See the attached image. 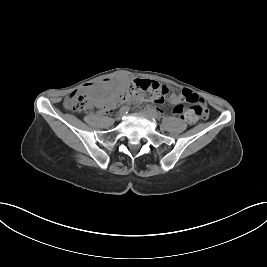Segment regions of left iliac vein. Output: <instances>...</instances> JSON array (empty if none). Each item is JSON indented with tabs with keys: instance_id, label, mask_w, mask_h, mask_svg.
I'll use <instances>...</instances> for the list:
<instances>
[{
	"instance_id": "1",
	"label": "left iliac vein",
	"mask_w": 267,
	"mask_h": 267,
	"mask_svg": "<svg viewBox=\"0 0 267 267\" xmlns=\"http://www.w3.org/2000/svg\"><path fill=\"white\" fill-rule=\"evenodd\" d=\"M140 113L145 117L154 118L147 110H142Z\"/></svg>"
}]
</instances>
